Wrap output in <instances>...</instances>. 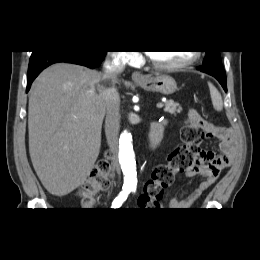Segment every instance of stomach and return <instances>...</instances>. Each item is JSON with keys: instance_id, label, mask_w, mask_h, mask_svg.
I'll return each instance as SVG.
<instances>
[{"instance_id": "0dacf381", "label": "stomach", "mask_w": 260, "mask_h": 260, "mask_svg": "<svg viewBox=\"0 0 260 260\" xmlns=\"http://www.w3.org/2000/svg\"><path fill=\"white\" fill-rule=\"evenodd\" d=\"M136 83L146 91L159 92L162 95H171L177 90L175 79L167 74L149 76L144 81Z\"/></svg>"}]
</instances>
